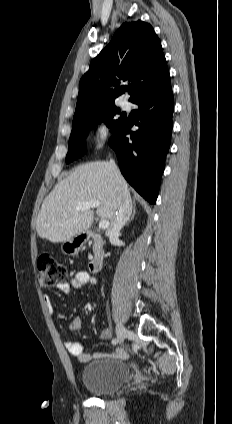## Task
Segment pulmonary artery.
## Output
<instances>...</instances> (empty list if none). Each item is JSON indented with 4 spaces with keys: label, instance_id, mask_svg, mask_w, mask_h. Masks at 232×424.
Instances as JSON below:
<instances>
[{
    "label": "pulmonary artery",
    "instance_id": "1",
    "mask_svg": "<svg viewBox=\"0 0 232 424\" xmlns=\"http://www.w3.org/2000/svg\"><path fill=\"white\" fill-rule=\"evenodd\" d=\"M121 106L125 110H129L130 109V103L127 100L122 101Z\"/></svg>",
    "mask_w": 232,
    "mask_h": 424
}]
</instances>
